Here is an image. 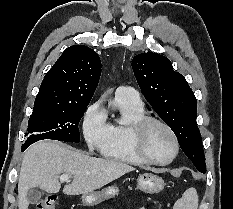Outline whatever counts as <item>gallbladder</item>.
I'll list each match as a JSON object with an SVG mask.
<instances>
[{
    "instance_id": "gallbladder-1",
    "label": "gallbladder",
    "mask_w": 233,
    "mask_h": 209,
    "mask_svg": "<svg viewBox=\"0 0 233 209\" xmlns=\"http://www.w3.org/2000/svg\"><path fill=\"white\" fill-rule=\"evenodd\" d=\"M41 198V192L36 188L29 189L27 199L30 204H36Z\"/></svg>"
}]
</instances>
